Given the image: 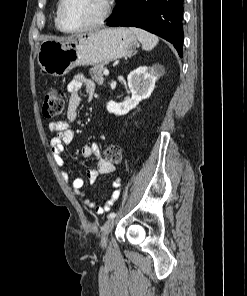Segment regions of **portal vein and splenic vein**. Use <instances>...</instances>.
Segmentation results:
<instances>
[{
  "label": "portal vein and splenic vein",
  "instance_id": "portal-vein-and-splenic-vein-1",
  "mask_svg": "<svg viewBox=\"0 0 247 296\" xmlns=\"http://www.w3.org/2000/svg\"><path fill=\"white\" fill-rule=\"evenodd\" d=\"M103 74H104L105 76H108V75H109V70H108V69H104Z\"/></svg>",
  "mask_w": 247,
  "mask_h": 296
}]
</instances>
